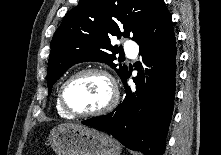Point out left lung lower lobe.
Masks as SVG:
<instances>
[{
    "instance_id": "1",
    "label": "left lung lower lobe",
    "mask_w": 221,
    "mask_h": 155,
    "mask_svg": "<svg viewBox=\"0 0 221 155\" xmlns=\"http://www.w3.org/2000/svg\"><path fill=\"white\" fill-rule=\"evenodd\" d=\"M142 61L152 69L144 85L142 68L133 78L136 90L127 86L130 72L122 79L126 96L111 113L82 124L113 135L127 148L145 155H162L172 117L176 85V40L165 3L151 16L136 40Z\"/></svg>"
}]
</instances>
